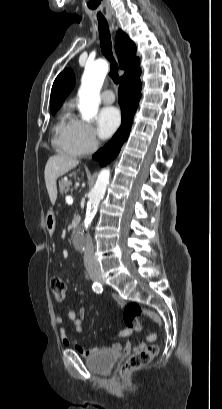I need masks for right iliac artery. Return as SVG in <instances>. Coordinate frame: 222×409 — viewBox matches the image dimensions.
Masks as SVG:
<instances>
[{
    "label": "right iliac artery",
    "mask_w": 222,
    "mask_h": 409,
    "mask_svg": "<svg viewBox=\"0 0 222 409\" xmlns=\"http://www.w3.org/2000/svg\"><path fill=\"white\" fill-rule=\"evenodd\" d=\"M92 289H93L94 292H96L98 294L102 293V291H103L102 285L100 283H97V282L93 283Z\"/></svg>",
    "instance_id": "right-iliac-artery-1"
}]
</instances>
